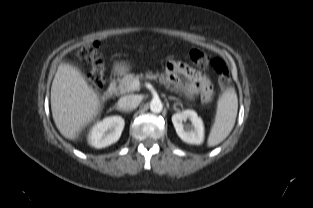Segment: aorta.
Returning <instances> with one entry per match:
<instances>
[{
	"instance_id": "1",
	"label": "aorta",
	"mask_w": 313,
	"mask_h": 208,
	"mask_svg": "<svg viewBox=\"0 0 313 208\" xmlns=\"http://www.w3.org/2000/svg\"><path fill=\"white\" fill-rule=\"evenodd\" d=\"M163 109V105L160 99H153L150 102V110L154 113H160Z\"/></svg>"
}]
</instances>
